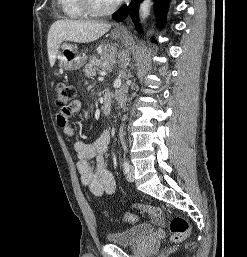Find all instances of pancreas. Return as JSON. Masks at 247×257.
Returning <instances> with one entry per match:
<instances>
[{"label":"pancreas","instance_id":"1","mask_svg":"<svg viewBox=\"0 0 247 257\" xmlns=\"http://www.w3.org/2000/svg\"><path fill=\"white\" fill-rule=\"evenodd\" d=\"M112 59L105 56V53L102 54L101 59L96 57L92 58L84 68V74L86 77H93L96 75V72L99 69L109 70Z\"/></svg>","mask_w":247,"mask_h":257}]
</instances>
